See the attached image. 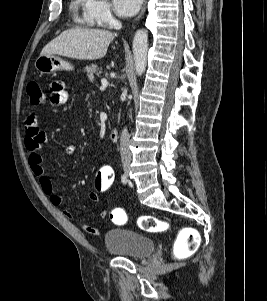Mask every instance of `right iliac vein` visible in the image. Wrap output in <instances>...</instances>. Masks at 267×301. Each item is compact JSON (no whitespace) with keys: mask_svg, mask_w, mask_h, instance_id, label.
Here are the masks:
<instances>
[{"mask_svg":"<svg viewBox=\"0 0 267 301\" xmlns=\"http://www.w3.org/2000/svg\"><path fill=\"white\" fill-rule=\"evenodd\" d=\"M124 172H125L126 175L129 174V172H130V166L129 165L124 166Z\"/></svg>","mask_w":267,"mask_h":301,"instance_id":"right-iliac-vein-1","label":"right iliac vein"}]
</instances>
